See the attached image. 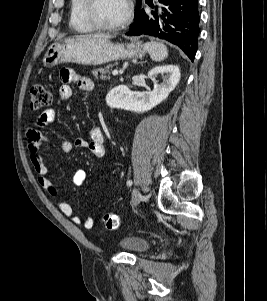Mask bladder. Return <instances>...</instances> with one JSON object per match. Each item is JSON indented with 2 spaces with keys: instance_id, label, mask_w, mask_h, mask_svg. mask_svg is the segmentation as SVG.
<instances>
[{
  "instance_id": "31cf9c89",
  "label": "bladder",
  "mask_w": 267,
  "mask_h": 301,
  "mask_svg": "<svg viewBox=\"0 0 267 301\" xmlns=\"http://www.w3.org/2000/svg\"><path fill=\"white\" fill-rule=\"evenodd\" d=\"M119 246L133 254H141L150 248V242L140 236L127 235L120 239Z\"/></svg>"
}]
</instances>
